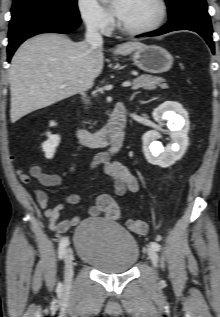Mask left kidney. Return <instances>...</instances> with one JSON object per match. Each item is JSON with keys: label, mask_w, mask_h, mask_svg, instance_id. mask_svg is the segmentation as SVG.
<instances>
[{"label": "left kidney", "mask_w": 220, "mask_h": 317, "mask_svg": "<svg viewBox=\"0 0 220 317\" xmlns=\"http://www.w3.org/2000/svg\"><path fill=\"white\" fill-rule=\"evenodd\" d=\"M152 116L158 123L167 120L168 134L172 143L164 148L159 141H155L158 132L148 131L142 137L143 152L149 163L169 167L183 156L189 144L187 136L189 130L188 114L181 104L166 101L154 109Z\"/></svg>", "instance_id": "left-kidney-1"}]
</instances>
